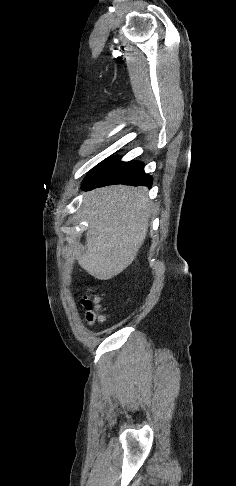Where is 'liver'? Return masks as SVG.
<instances>
[{
  "label": "liver",
  "instance_id": "obj_1",
  "mask_svg": "<svg viewBox=\"0 0 236 486\" xmlns=\"http://www.w3.org/2000/svg\"><path fill=\"white\" fill-rule=\"evenodd\" d=\"M147 188L115 185L88 192L83 214L89 224L80 266L98 280L120 274L136 258L152 211Z\"/></svg>",
  "mask_w": 236,
  "mask_h": 486
}]
</instances>
